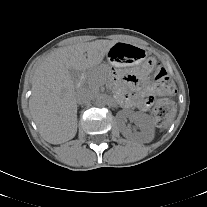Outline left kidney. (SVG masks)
I'll list each match as a JSON object with an SVG mask.
<instances>
[{"label": "left kidney", "instance_id": "5707ae66", "mask_svg": "<svg viewBox=\"0 0 207 207\" xmlns=\"http://www.w3.org/2000/svg\"><path fill=\"white\" fill-rule=\"evenodd\" d=\"M117 118L122 121L121 132L125 137H131L132 132L124 125V120L129 119L134 121L139 127L140 132L138 136L144 142H150L154 138V125L151 118L141 112L120 111L117 113Z\"/></svg>", "mask_w": 207, "mask_h": 207}]
</instances>
